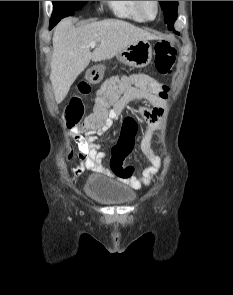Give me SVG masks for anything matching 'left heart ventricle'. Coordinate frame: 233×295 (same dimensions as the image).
<instances>
[{
  "instance_id": "1",
  "label": "left heart ventricle",
  "mask_w": 233,
  "mask_h": 295,
  "mask_svg": "<svg viewBox=\"0 0 233 295\" xmlns=\"http://www.w3.org/2000/svg\"><path fill=\"white\" fill-rule=\"evenodd\" d=\"M143 11L146 16L152 18L156 14V6L154 1H142Z\"/></svg>"
}]
</instances>
